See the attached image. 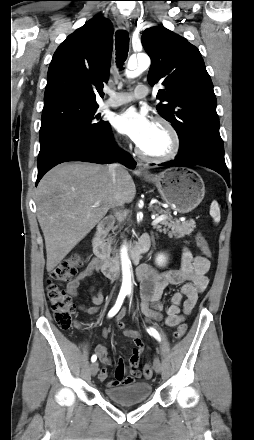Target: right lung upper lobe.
<instances>
[{"mask_svg": "<svg viewBox=\"0 0 254 440\" xmlns=\"http://www.w3.org/2000/svg\"><path fill=\"white\" fill-rule=\"evenodd\" d=\"M112 35L111 22L95 16L60 44L48 69L44 104L59 98L96 102L109 78Z\"/></svg>", "mask_w": 254, "mask_h": 440, "instance_id": "cb5924a9", "label": "right lung upper lobe"}]
</instances>
